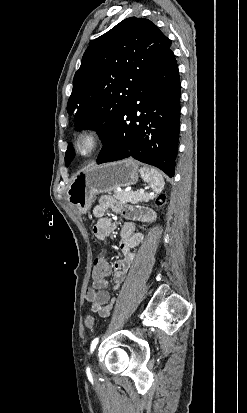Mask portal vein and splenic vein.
Returning <instances> with one entry per match:
<instances>
[{
  "instance_id": "obj_1",
  "label": "portal vein and splenic vein",
  "mask_w": 247,
  "mask_h": 413,
  "mask_svg": "<svg viewBox=\"0 0 247 413\" xmlns=\"http://www.w3.org/2000/svg\"><path fill=\"white\" fill-rule=\"evenodd\" d=\"M141 192H144L143 188H140Z\"/></svg>"
}]
</instances>
